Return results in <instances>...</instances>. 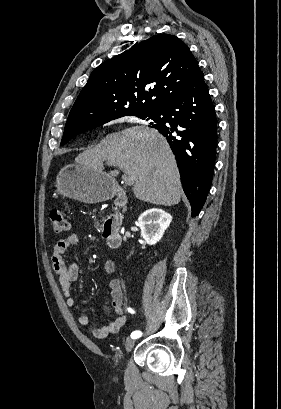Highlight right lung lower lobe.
<instances>
[{
	"label": "right lung lower lobe",
	"instance_id": "right-lung-lower-lobe-1",
	"mask_svg": "<svg viewBox=\"0 0 281 409\" xmlns=\"http://www.w3.org/2000/svg\"><path fill=\"white\" fill-rule=\"evenodd\" d=\"M153 125L174 152L192 217L199 214L211 186L216 158L217 119L203 74L181 95L165 103Z\"/></svg>",
	"mask_w": 281,
	"mask_h": 409
}]
</instances>
